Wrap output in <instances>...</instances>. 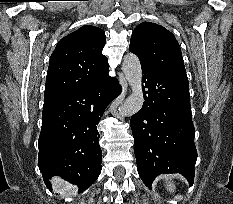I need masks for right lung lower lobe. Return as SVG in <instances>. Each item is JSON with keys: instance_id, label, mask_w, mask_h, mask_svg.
Segmentation results:
<instances>
[{"instance_id": "1", "label": "right lung lower lobe", "mask_w": 233, "mask_h": 204, "mask_svg": "<svg viewBox=\"0 0 233 204\" xmlns=\"http://www.w3.org/2000/svg\"><path fill=\"white\" fill-rule=\"evenodd\" d=\"M121 92L108 69L90 85L43 105L38 166L46 185L59 175L82 192L98 178L102 166L96 125Z\"/></svg>"}]
</instances>
